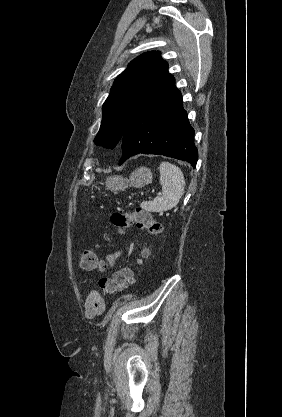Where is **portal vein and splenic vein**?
Wrapping results in <instances>:
<instances>
[{"label":"portal vein and splenic vein","instance_id":"1","mask_svg":"<svg viewBox=\"0 0 282 417\" xmlns=\"http://www.w3.org/2000/svg\"><path fill=\"white\" fill-rule=\"evenodd\" d=\"M156 196H157V197H160V196H161V193H160V192H157V193L151 194L150 196H147V197H146V200H147V201H150L151 199H155V198H156Z\"/></svg>","mask_w":282,"mask_h":417}]
</instances>
